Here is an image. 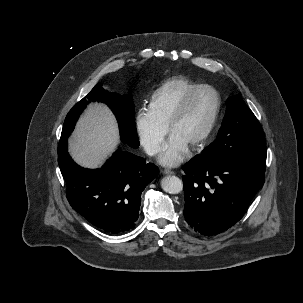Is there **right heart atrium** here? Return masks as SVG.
Segmentation results:
<instances>
[{"instance_id": "d8ad5b80", "label": "right heart atrium", "mask_w": 303, "mask_h": 303, "mask_svg": "<svg viewBox=\"0 0 303 303\" xmlns=\"http://www.w3.org/2000/svg\"><path fill=\"white\" fill-rule=\"evenodd\" d=\"M135 129L141 145L149 155L154 156L161 151L168 128L149 109L138 110Z\"/></svg>"}]
</instances>
